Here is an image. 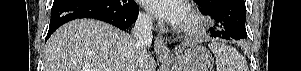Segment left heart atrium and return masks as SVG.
I'll return each instance as SVG.
<instances>
[{"label":"left heart atrium","instance_id":"1","mask_svg":"<svg viewBox=\"0 0 301 71\" xmlns=\"http://www.w3.org/2000/svg\"><path fill=\"white\" fill-rule=\"evenodd\" d=\"M142 4L149 12L176 28L186 22L187 8L181 0H142Z\"/></svg>","mask_w":301,"mask_h":71}]
</instances>
